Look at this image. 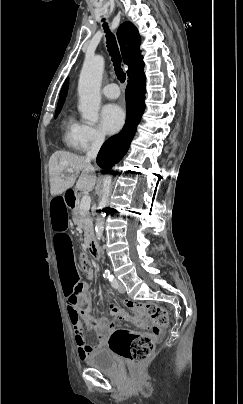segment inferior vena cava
I'll return each mask as SVG.
<instances>
[{
	"label": "inferior vena cava",
	"mask_w": 243,
	"mask_h": 404,
	"mask_svg": "<svg viewBox=\"0 0 243 404\" xmlns=\"http://www.w3.org/2000/svg\"><path fill=\"white\" fill-rule=\"evenodd\" d=\"M104 140H105V136H97V138H95L89 152H87L86 154V160H96L97 158V154L102 146V144H104Z\"/></svg>",
	"instance_id": "obj_1"
}]
</instances>
